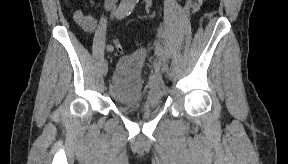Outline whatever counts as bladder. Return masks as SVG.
Masks as SVG:
<instances>
[{"mask_svg":"<svg viewBox=\"0 0 288 164\" xmlns=\"http://www.w3.org/2000/svg\"><path fill=\"white\" fill-rule=\"evenodd\" d=\"M145 56L133 53L119 61L111 75L109 96L119 111L125 114H153L160 108V97L153 88L144 86L140 67Z\"/></svg>","mask_w":288,"mask_h":164,"instance_id":"1","label":"bladder"}]
</instances>
